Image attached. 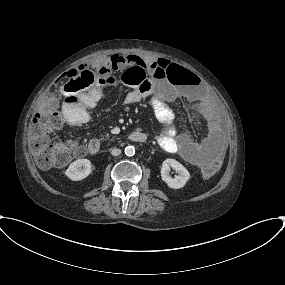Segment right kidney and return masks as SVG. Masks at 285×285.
Segmentation results:
<instances>
[{"label": "right kidney", "instance_id": "obj_1", "mask_svg": "<svg viewBox=\"0 0 285 285\" xmlns=\"http://www.w3.org/2000/svg\"><path fill=\"white\" fill-rule=\"evenodd\" d=\"M92 171L91 162L88 159H78L71 163L65 174L73 181H79L90 175Z\"/></svg>", "mask_w": 285, "mask_h": 285}]
</instances>
